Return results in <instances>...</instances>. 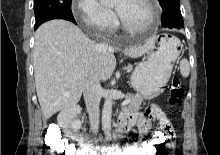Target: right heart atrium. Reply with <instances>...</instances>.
Masks as SVG:
<instances>
[{
	"instance_id": "obj_1",
	"label": "right heart atrium",
	"mask_w": 220,
	"mask_h": 155,
	"mask_svg": "<svg viewBox=\"0 0 220 155\" xmlns=\"http://www.w3.org/2000/svg\"><path fill=\"white\" fill-rule=\"evenodd\" d=\"M72 12L76 20L89 32L106 34L116 25L114 13L98 0H75Z\"/></svg>"
}]
</instances>
